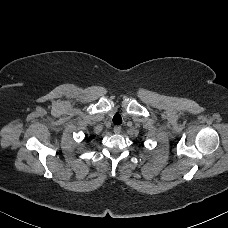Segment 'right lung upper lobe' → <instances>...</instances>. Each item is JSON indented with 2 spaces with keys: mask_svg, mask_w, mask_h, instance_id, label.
<instances>
[{
  "mask_svg": "<svg viewBox=\"0 0 228 228\" xmlns=\"http://www.w3.org/2000/svg\"><path fill=\"white\" fill-rule=\"evenodd\" d=\"M90 138H93L92 136H90V137H86V140L87 141H89L90 140Z\"/></svg>",
  "mask_w": 228,
  "mask_h": 228,
  "instance_id": "right-lung-upper-lobe-1",
  "label": "right lung upper lobe"
}]
</instances>
